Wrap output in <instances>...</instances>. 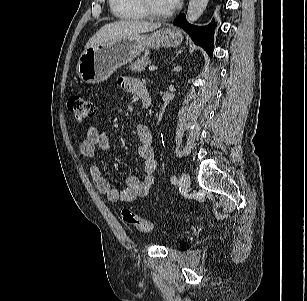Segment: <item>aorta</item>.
<instances>
[{
    "label": "aorta",
    "instance_id": "762f6f07",
    "mask_svg": "<svg viewBox=\"0 0 307 301\" xmlns=\"http://www.w3.org/2000/svg\"><path fill=\"white\" fill-rule=\"evenodd\" d=\"M209 0H189L187 20L189 23L196 22L203 14Z\"/></svg>",
    "mask_w": 307,
    "mask_h": 301
}]
</instances>
